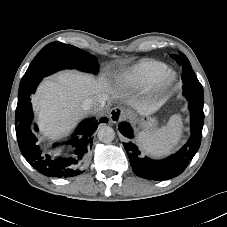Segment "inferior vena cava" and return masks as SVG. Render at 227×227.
Returning a JSON list of instances; mask_svg holds the SVG:
<instances>
[{
    "label": "inferior vena cava",
    "instance_id": "inferior-vena-cava-1",
    "mask_svg": "<svg viewBox=\"0 0 227 227\" xmlns=\"http://www.w3.org/2000/svg\"><path fill=\"white\" fill-rule=\"evenodd\" d=\"M105 97L101 96L98 99L87 98L82 103V108L89 114H95L103 109L105 106Z\"/></svg>",
    "mask_w": 227,
    "mask_h": 227
}]
</instances>
